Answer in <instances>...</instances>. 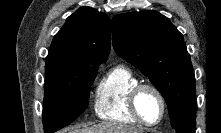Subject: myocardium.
Segmentation results:
<instances>
[{"mask_svg": "<svg viewBox=\"0 0 221 133\" xmlns=\"http://www.w3.org/2000/svg\"><path fill=\"white\" fill-rule=\"evenodd\" d=\"M144 91L153 92L156 95V97L158 98L160 105H161V115H160L159 119L154 123L147 122L142 117L139 107H138V99H139L141 93ZM128 104H129L130 112L133 115V117L139 123H141L145 126H148V127H154V126L159 125L166 116L167 105H166L165 97H164L163 93L161 92V90L152 84L140 83L137 86H135L129 94Z\"/></svg>", "mask_w": 221, "mask_h": 133, "instance_id": "obj_1", "label": "myocardium"}]
</instances>
